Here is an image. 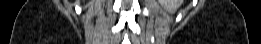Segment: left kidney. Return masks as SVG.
Instances as JSON below:
<instances>
[{"label": "left kidney", "instance_id": "obj_1", "mask_svg": "<svg viewBox=\"0 0 261 44\" xmlns=\"http://www.w3.org/2000/svg\"><path fill=\"white\" fill-rule=\"evenodd\" d=\"M158 1L169 13H174L181 4V0H158Z\"/></svg>", "mask_w": 261, "mask_h": 44}]
</instances>
